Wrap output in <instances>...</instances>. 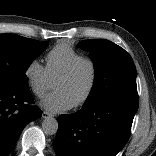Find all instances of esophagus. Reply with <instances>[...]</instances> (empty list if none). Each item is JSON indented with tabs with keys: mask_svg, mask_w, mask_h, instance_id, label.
I'll use <instances>...</instances> for the list:
<instances>
[{
	"mask_svg": "<svg viewBox=\"0 0 156 156\" xmlns=\"http://www.w3.org/2000/svg\"><path fill=\"white\" fill-rule=\"evenodd\" d=\"M42 117L46 119V118L52 117V114H50V113L47 112V111H44V112L42 113Z\"/></svg>",
	"mask_w": 156,
	"mask_h": 156,
	"instance_id": "obj_1",
	"label": "esophagus"
}]
</instances>
